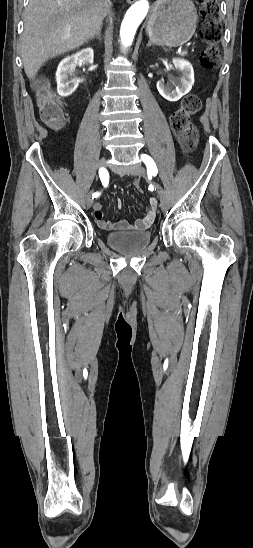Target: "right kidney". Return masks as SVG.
<instances>
[{
	"mask_svg": "<svg viewBox=\"0 0 253 548\" xmlns=\"http://www.w3.org/2000/svg\"><path fill=\"white\" fill-rule=\"evenodd\" d=\"M94 52L92 48H86L76 54L65 57L58 65L56 71L57 92L62 97H68L78 87V81L74 71L79 62L93 63Z\"/></svg>",
	"mask_w": 253,
	"mask_h": 548,
	"instance_id": "ca27d5eb",
	"label": "right kidney"
}]
</instances>
